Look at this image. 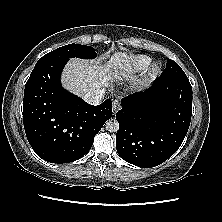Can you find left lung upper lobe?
I'll return each mask as SVG.
<instances>
[{
  "instance_id": "left-lung-upper-lobe-1",
  "label": "left lung upper lobe",
  "mask_w": 222,
  "mask_h": 222,
  "mask_svg": "<svg viewBox=\"0 0 222 222\" xmlns=\"http://www.w3.org/2000/svg\"><path fill=\"white\" fill-rule=\"evenodd\" d=\"M161 78H176V79H188L181 67L173 60L168 59L166 68L160 75Z\"/></svg>"
}]
</instances>
